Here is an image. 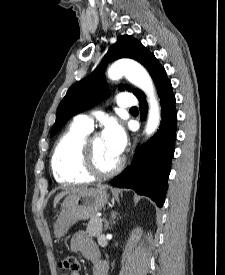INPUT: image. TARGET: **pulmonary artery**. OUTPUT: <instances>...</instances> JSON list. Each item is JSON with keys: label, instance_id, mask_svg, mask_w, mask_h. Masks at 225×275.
I'll list each match as a JSON object with an SVG mask.
<instances>
[{"label": "pulmonary artery", "instance_id": "1", "mask_svg": "<svg viewBox=\"0 0 225 275\" xmlns=\"http://www.w3.org/2000/svg\"><path fill=\"white\" fill-rule=\"evenodd\" d=\"M117 105L121 108H132L137 105V100L132 94L123 92L117 95ZM74 123L90 130L93 127V119L85 114L77 115L74 118Z\"/></svg>", "mask_w": 225, "mask_h": 275}]
</instances>
